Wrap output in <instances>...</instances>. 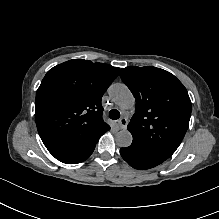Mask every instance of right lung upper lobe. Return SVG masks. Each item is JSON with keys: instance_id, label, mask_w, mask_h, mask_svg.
Returning a JSON list of instances; mask_svg holds the SVG:
<instances>
[{"instance_id": "1", "label": "right lung upper lobe", "mask_w": 219, "mask_h": 219, "mask_svg": "<svg viewBox=\"0 0 219 219\" xmlns=\"http://www.w3.org/2000/svg\"><path fill=\"white\" fill-rule=\"evenodd\" d=\"M119 68L73 59L50 69L36 93L35 119L47 149L92 144L109 125L102 96Z\"/></svg>"}]
</instances>
